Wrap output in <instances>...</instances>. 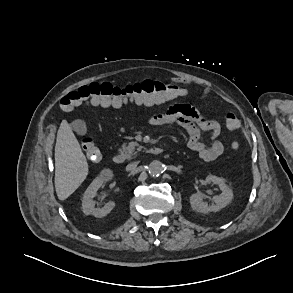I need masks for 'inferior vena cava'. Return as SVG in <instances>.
Instances as JSON below:
<instances>
[{"label":"inferior vena cava","instance_id":"obj_1","mask_svg":"<svg viewBox=\"0 0 293 293\" xmlns=\"http://www.w3.org/2000/svg\"><path fill=\"white\" fill-rule=\"evenodd\" d=\"M137 165H138V162H132L126 166V170L127 171L134 170L137 167Z\"/></svg>","mask_w":293,"mask_h":293}]
</instances>
